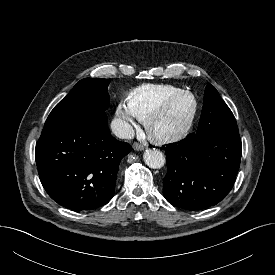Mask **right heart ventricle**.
Instances as JSON below:
<instances>
[{"label":"right heart ventricle","mask_w":275,"mask_h":275,"mask_svg":"<svg viewBox=\"0 0 275 275\" xmlns=\"http://www.w3.org/2000/svg\"><path fill=\"white\" fill-rule=\"evenodd\" d=\"M179 90L180 87L171 84H143L130 91L126 103L131 112L143 120L152 109Z\"/></svg>","instance_id":"obj_1"}]
</instances>
